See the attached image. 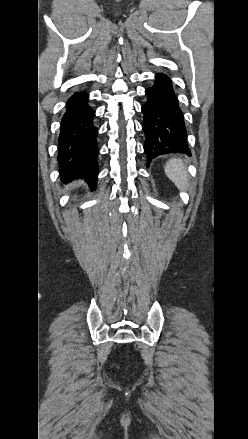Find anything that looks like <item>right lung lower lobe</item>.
I'll use <instances>...</instances> for the list:
<instances>
[{"instance_id":"right-lung-lower-lobe-1","label":"right lung lower lobe","mask_w":248,"mask_h":439,"mask_svg":"<svg viewBox=\"0 0 248 439\" xmlns=\"http://www.w3.org/2000/svg\"><path fill=\"white\" fill-rule=\"evenodd\" d=\"M88 98L87 93L76 92L66 104L61 121L58 161L63 180L84 177L95 188L99 172L98 131L93 124L95 111L88 105Z\"/></svg>"}]
</instances>
